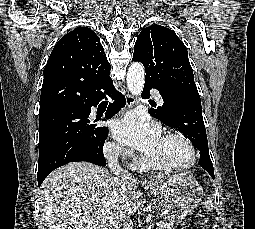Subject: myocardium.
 I'll list each match as a JSON object with an SVG mask.
<instances>
[{
  "instance_id": "1",
  "label": "myocardium",
  "mask_w": 255,
  "mask_h": 229,
  "mask_svg": "<svg viewBox=\"0 0 255 229\" xmlns=\"http://www.w3.org/2000/svg\"><path fill=\"white\" fill-rule=\"evenodd\" d=\"M162 136L174 138V139L180 141L182 144H184L190 152V159L188 160V162H186L185 164H182V165H167V164H163V163H160L157 161L150 160L145 155H143L142 161L149 168L159 170V171H166V172H182V171H186V170L190 169L191 167H193L196 164L197 157H198L197 151H196L194 145L192 144V142L187 137H185L181 133L174 132V131H166L163 133Z\"/></svg>"
}]
</instances>
